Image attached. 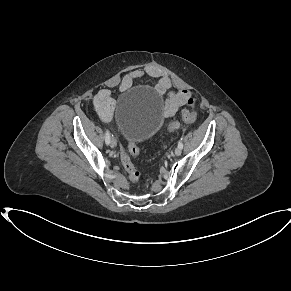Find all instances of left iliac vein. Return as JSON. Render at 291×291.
<instances>
[{"label": "left iliac vein", "mask_w": 291, "mask_h": 291, "mask_svg": "<svg viewBox=\"0 0 291 291\" xmlns=\"http://www.w3.org/2000/svg\"><path fill=\"white\" fill-rule=\"evenodd\" d=\"M181 152H182V148L178 146V147L175 149L174 154H175L176 156H179V155L181 154Z\"/></svg>", "instance_id": "1"}]
</instances>
